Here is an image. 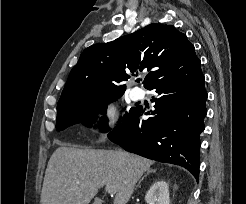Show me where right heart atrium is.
Segmentation results:
<instances>
[{
	"mask_svg": "<svg viewBox=\"0 0 246 204\" xmlns=\"http://www.w3.org/2000/svg\"><path fill=\"white\" fill-rule=\"evenodd\" d=\"M119 121L118 109L113 100L98 103L95 110L94 132L98 141H105Z\"/></svg>",
	"mask_w": 246,
	"mask_h": 204,
	"instance_id": "d8ad5b80",
	"label": "right heart atrium"
}]
</instances>
